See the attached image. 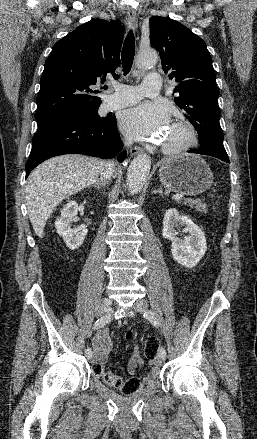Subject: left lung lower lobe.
I'll return each mask as SVG.
<instances>
[{
	"instance_id": "0a47b994",
	"label": "left lung lower lobe",
	"mask_w": 257,
	"mask_h": 439,
	"mask_svg": "<svg viewBox=\"0 0 257 439\" xmlns=\"http://www.w3.org/2000/svg\"><path fill=\"white\" fill-rule=\"evenodd\" d=\"M190 153H195V154H203V155H209L212 157H216L224 162L230 163L229 161V157L227 155V153H215L212 151H208V150H190Z\"/></svg>"
}]
</instances>
